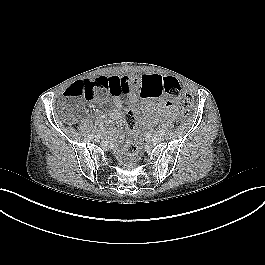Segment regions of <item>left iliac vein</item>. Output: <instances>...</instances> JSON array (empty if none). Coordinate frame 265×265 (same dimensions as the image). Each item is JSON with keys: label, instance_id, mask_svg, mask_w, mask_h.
<instances>
[{"label": "left iliac vein", "instance_id": "obj_1", "mask_svg": "<svg viewBox=\"0 0 265 265\" xmlns=\"http://www.w3.org/2000/svg\"><path fill=\"white\" fill-rule=\"evenodd\" d=\"M153 141L156 143H161L164 141V136L161 134H157L153 137Z\"/></svg>", "mask_w": 265, "mask_h": 265}]
</instances>
